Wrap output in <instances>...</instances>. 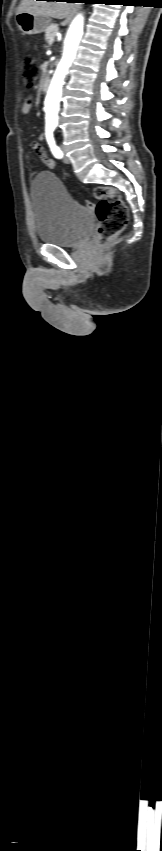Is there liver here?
<instances>
[{
  "label": "liver",
  "instance_id": "liver-1",
  "mask_svg": "<svg viewBox=\"0 0 162 851\" xmlns=\"http://www.w3.org/2000/svg\"><path fill=\"white\" fill-rule=\"evenodd\" d=\"M78 8L79 6L67 2L22 0L18 13L29 12L48 18L65 19L63 25H66Z\"/></svg>",
  "mask_w": 162,
  "mask_h": 851
}]
</instances>
